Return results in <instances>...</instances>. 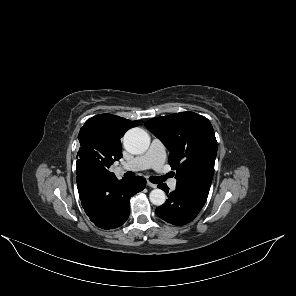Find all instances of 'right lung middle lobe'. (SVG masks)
Instances as JSON below:
<instances>
[{
	"mask_svg": "<svg viewBox=\"0 0 296 296\" xmlns=\"http://www.w3.org/2000/svg\"><path fill=\"white\" fill-rule=\"evenodd\" d=\"M78 156V160L88 162L98 174L102 176L113 175V173L108 171L113 161L102 149L92 145L81 146Z\"/></svg>",
	"mask_w": 296,
	"mask_h": 296,
	"instance_id": "obj_1",
	"label": "right lung middle lobe"
}]
</instances>
